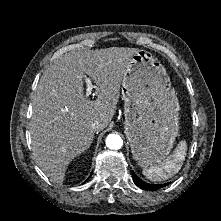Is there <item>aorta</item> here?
Here are the masks:
<instances>
[{
    "label": "aorta",
    "mask_w": 221,
    "mask_h": 221,
    "mask_svg": "<svg viewBox=\"0 0 221 221\" xmlns=\"http://www.w3.org/2000/svg\"><path fill=\"white\" fill-rule=\"evenodd\" d=\"M123 140L117 134H109L106 138V146L112 150H118L122 147Z\"/></svg>",
    "instance_id": "aorta-1"
}]
</instances>
